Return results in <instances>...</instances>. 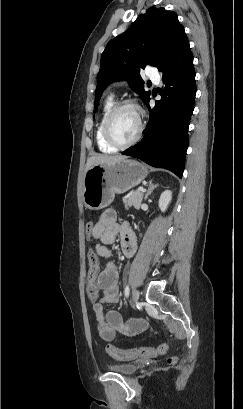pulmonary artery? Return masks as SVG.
Segmentation results:
<instances>
[{
	"instance_id": "obj_1",
	"label": "pulmonary artery",
	"mask_w": 243,
	"mask_h": 409,
	"mask_svg": "<svg viewBox=\"0 0 243 409\" xmlns=\"http://www.w3.org/2000/svg\"><path fill=\"white\" fill-rule=\"evenodd\" d=\"M148 76L155 83H159L161 81L159 73L157 71H155V70L149 71Z\"/></svg>"
}]
</instances>
